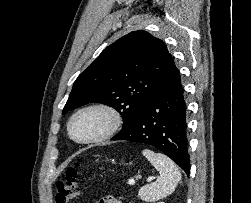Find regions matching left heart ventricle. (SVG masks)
Here are the masks:
<instances>
[{
  "mask_svg": "<svg viewBox=\"0 0 251 203\" xmlns=\"http://www.w3.org/2000/svg\"><path fill=\"white\" fill-rule=\"evenodd\" d=\"M105 125V116L92 111L79 115L73 122L72 130L78 139H87L100 133Z\"/></svg>",
  "mask_w": 251,
  "mask_h": 203,
  "instance_id": "obj_1",
  "label": "left heart ventricle"
}]
</instances>
